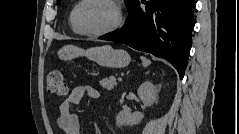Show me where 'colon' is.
<instances>
[{"label":"colon","mask_w":239,"mask_h":134,"mask_svg":"<svg viewBox=\"0 0 239 134\" xmlns=\"http://www.w3.org/2000/svg\"><path fill=\"white\" fill-rule=\"evenodd\" d=\"M47 90L57 96H64L67 94L68 87L65 84L63 74L60 71L53 70L49 72L47 76Z\"/></svg>","instance_id":"1"}]
</instances>
